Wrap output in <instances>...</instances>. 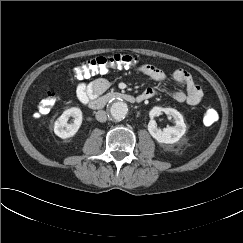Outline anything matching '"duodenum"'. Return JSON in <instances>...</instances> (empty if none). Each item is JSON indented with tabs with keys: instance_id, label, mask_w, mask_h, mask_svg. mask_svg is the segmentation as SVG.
<instances>
[{
	"instance_id": "410a0bca",
	"label": "duodenum",
	"mask_w": 243,
	"mask_h": 243,
	"mask_svg": "<svg viewBox=\"0 0 243 243\" xmlns=\"http://www.w3.org/2000/svg\"><path fill=\"white\" fill-rule=\"evenodd\" d=\"M114 100H124L129 103H136V102H142L143 97L140 95L134 96V95H131L128 93L115 91V92L107 93L104 96L92 99L88 103V106L91 109L99 110V109L104 108L108 103H110Z\"/></svg>"
}]
</instances>
